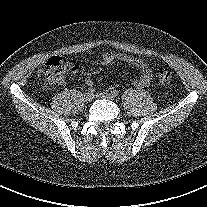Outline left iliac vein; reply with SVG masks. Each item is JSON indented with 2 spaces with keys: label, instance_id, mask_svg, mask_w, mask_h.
Instances as JSON below:
<instances>
[{
  "label": "left iliac vein",
  "instance_id": "left-iliac-vein-1",
  "mask_svg": "<svg viewBox=\"0 0 207 207\" xmlns=\"http://www.w3.org/2000/svg\"><path fill=\"white\" fill-rule=\"evenodd\" d=\"M96 97L104 98V99H108V100H114L115 99V97L111 93H98L96 95Z\"/></svg>",
  "mask_w": 207,
  "mask_h": 207
}]
</instances>
